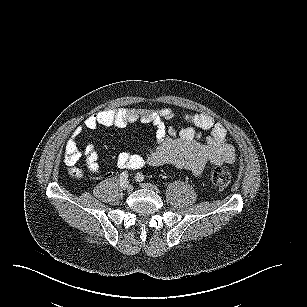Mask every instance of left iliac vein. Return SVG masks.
Wrapping results in <instances>:
<instances>
[{
  "label": "left iliac vein",
  "mask_w": 307,
  "mask_h": 307,
  "mask_svg": "<svg viewBox=\"0 0 307 307\" xmlns=\"http://www.w3.org/2000/svg\"><path fill=\"white\" fill-rule=\"evenodd\" d=\"M140 186L144 189H151L153 191H157L156 186H154L153 184H150V183H141Z\"/></svg>",
  "instance_id": "4c4485c4"
}]
</instances>
